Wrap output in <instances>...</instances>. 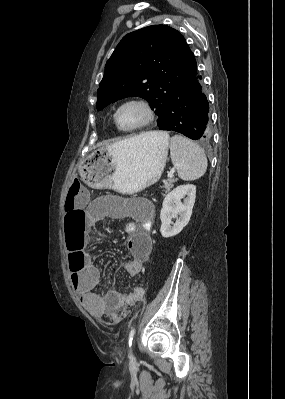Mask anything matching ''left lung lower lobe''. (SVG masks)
<instances>
[{"label":"left lung lower lobe","instance_id":"left-lung-lower-lobe-1","mask_svg":"<svg viewBox=\"0 0 285 399\" xmlns=\"http://www.w3.org/2000/svg\"><path fill=\"white\" fill-rule=\"evenodd\" d=\"M201 78L196 70L179 84L160 130L179 132L193 140L210 138L209 104L200 85Z\"/></svg>","mask_w":285,"mask_h":399}]
</instances>
